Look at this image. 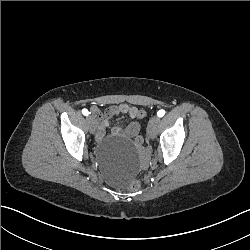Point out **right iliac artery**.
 Instances as JSON below:
<instances>
[{"mask_svg":"<svg viewBox=\"0 0 250 250\" xmlns=\"http://www.w3.org/2000/svg\"><path fill=\"white\" fill-rule=\"evenodd\" d=\"M82 114L85 115V116H88L89 112L87 109H83L82 110Z\"/></svg>","mask_w":250,"mask_h":250,"instance_id":"right-iliac-artery-1","label":"right iliac artery"}]
</instances>
